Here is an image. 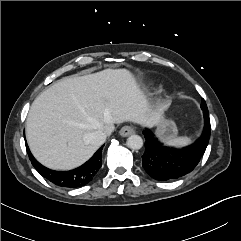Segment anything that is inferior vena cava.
I'll use <instances>...</instances> for the list:
<instances>
[{
	"mask_svg": "<svg viewBox=\"0 0 241 241\" xmlns=\"http://www.w3.org/2000/svg\"><path fill=\"white\" fill-rule=\"evenodd\" d=\"M107 134L103 130H96L87 135V140L90 144L95 146L102 145L106 140Z\"/></svg>",
	"mask_w": 241,
	"mask_h": 241,
	"instance_id": "602c4592",
	"label": "inferior vena cava"
}]
</instances>
